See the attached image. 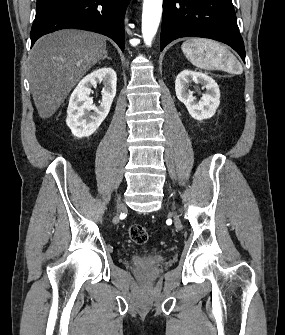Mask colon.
<instances>
[{"label": "colon", "instance_id": "obj_1", "mask_svg": "<svg viewBox=\"0 0 285 335\" xmlns=\"http://www.w3.org/2000/svg\"><path fill=\"white\" fill-rule=\"evenodd\" d=\"M129 237L136 244H144L148 239V233L144 226L133 224L129 228Z\"/></svg>", "mask_w": 285, "mask_h": 335}]
</instances>
